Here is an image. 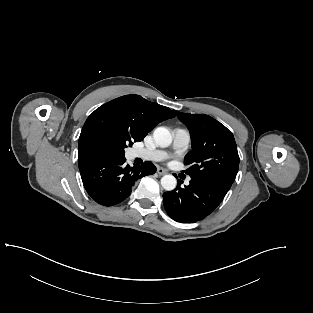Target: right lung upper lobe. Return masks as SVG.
<instances>
[{
  "label": "right lung upper lobe",
  "mask_w": 313,
  "mask_h": 313,
  "mask_svg": "<svg viewBox=\"0 0 313 313\" xmlns=\"http://www.w3.org/2000/svg\"><path fill=\"white\" fill-rule=\"evenodd\" d=\"M175 117L168 107L139 95H125L97 108L86 120L80 137L78 163L113 157L120 138L141 141L158 123Z\"/></svg>",
  "instance_id": "right-lung-upper-lobe-1"
}]
</instances>
